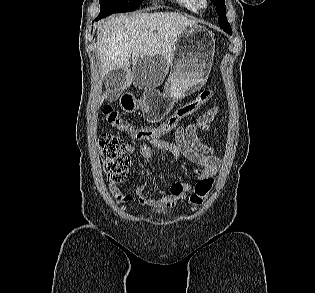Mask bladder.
Listing matches in <instances>:
<instances>
[{
	"instance_id": "1",
	"label": "bladder",
	"mask_w": 315,
	"mask_h": 293,
	"mask_svg": "<svg viewBox=\"0 0 315 293\" xmlns=\"http://www.w3.org/2000/svg\"><path fill=\"white\" fill-rule=\"evenodd\" d=\"M156 213H159V214H160V213H162V211H156Z\"/></svg>"
}]
</instances>
